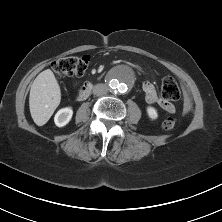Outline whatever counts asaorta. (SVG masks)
Returning a JSON list of instances; mask_svg holds the SVG:
<instances>
[{"label": "aorta", "instance_id": "aorta-1", "mask_svg": "<svg viewBox=\"0 0 222 222\" xmlns=\"http://www.w3.org/2000/svg\"><path fill=\"white\" fill-rule=\"evenodd\" d=\"M133 82L131 70L128 67L115 69L109 76L108 85L112 92L125 93Z\"/></svg>", "mask_w": 222, "mask_h": 222}]
</instances>
